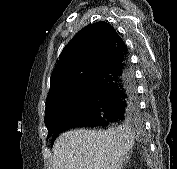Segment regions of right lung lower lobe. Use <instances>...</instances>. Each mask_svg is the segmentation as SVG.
Segmentation results:
<instances>
[{"instance_id": "obj_1", "label": "right lung lower lobe", "mask_w": 177, "mask_h": 169, "mask_svg": "<svg viewBox=\"0 0 177 169\" xmlns=\"http://www.w3.org/2000/svg\"><path fill=\"white\" fill-rule=\"evenodd\" d=\"M92 82L94 93L89 105L59 126L51 137L52 144L60 133L70 128L107 127L139 118L135 75L127 52L100 70Z\"/></svg>"}]
</instances>
